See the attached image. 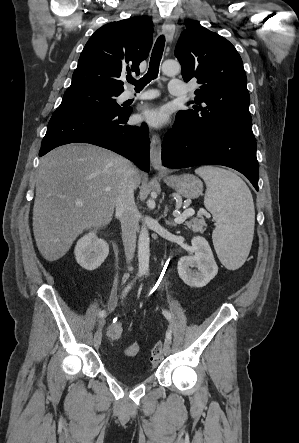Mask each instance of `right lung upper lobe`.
Instances as JSON below:
<instances>
[{
  "label": "right lung upper lobe",
  "instance_id": "1",
  "mask_svg": "<svg viewBox=\"0 0 299 443\" xmlns=\"http://www.w3.org/2000/svg\"><path fill=\"white\" fill-rule=\"evenodd\" d=\"M152 46L151 19L137 16L99 28L86 43L70 87H89L115 93L124 91L119 79L125 72L139 73V64Z\"/></svg>",
  "mask_w": 299,
  "mask_h": 443
}]
</instances>
